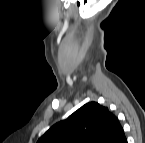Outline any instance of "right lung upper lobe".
Masks as SVG:
<instances>
[{
  "label": "right lung upper lobe",
  "instance_id": "obj_1",
  "mask_svg": "<svg viewBox=\"0 0 145 143\" xmlns=\"http://www.w3.org/2000/svg\"><path fill=\"white\" fill-rule=\"evenodd\" d=\"M37 143H127L123 128L108 108L90 102L53 125Z\"/></svg>",
  "mask_w": 145,
  "mask_h": 143
}]
</instances>
